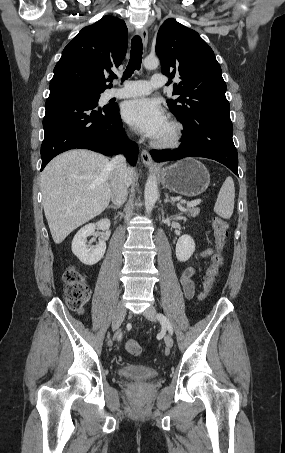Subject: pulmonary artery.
Instances as JSON below:
<instances>
[{"label": "pulmonary artery", "mask_w": 285, "mask_h": 453, "mask_svg": "<svg viewBox=\"0 0 285 453\" xmlns=\"http://www.w3.org/2000/svg\"><path fill=\"white\" fill-rule=\"evenodd\" d=\"M166 78L163 74L156 73L150 81L126 80L120 88H113L107 92L108 98H131L147 95L152 88H158L165 84Z\"/></svg>", "instance_id": "pulmonary-artery-1"}]
</instances>
